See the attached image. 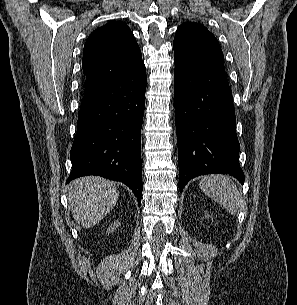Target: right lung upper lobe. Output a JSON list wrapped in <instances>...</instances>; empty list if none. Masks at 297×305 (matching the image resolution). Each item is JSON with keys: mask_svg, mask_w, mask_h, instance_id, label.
<instances>
[{"mask_svg": "<svg viewBox=\"0 0 297 305\" xmlns=\"http://www.w3.org/2000/svg\"><path fill=\"white\" fill-rule=\"evenodd\" d=\"M144 62L136 39L126 23H108L94 30L84 46V93L123 78Z\"/></svg>", "mask_w": 297, "mask_h": 305, "instance_id": "1", "label": "right lung upper lobe"}]
</instances>
